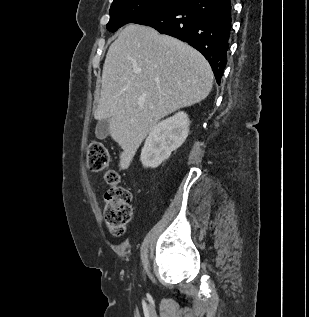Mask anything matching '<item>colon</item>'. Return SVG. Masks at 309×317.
Returning <instances> with one entry per match:
<instances>
[{
    "instance_id": "1",
    "label": "colon",
    "mask_w": 309,
    "mask_h": 317,
    "mask_svg": "<svg viewBox=\"0 0 309 317\" xmlns=\"http://www.w3.org/2000/svg\"><path fill=\"white\" fill-rule=\"evenodd\" d=\"M109 152L100 141H92L87 148V167L93 172L106 171L105 180L109 185L105 193L104 220L115 235H121L131 220V194L121 185L120 176L108 170Z\"/></svg>"
}]
</instances>
